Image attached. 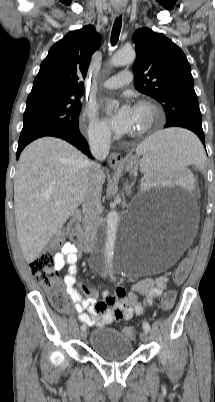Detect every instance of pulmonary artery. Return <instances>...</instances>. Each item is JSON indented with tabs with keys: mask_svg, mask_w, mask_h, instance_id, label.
Returning <instances> with one entry per match:
<instances>
[{
	"mask_svg": "<svg viewBox=\"0 0 215 402\" xmlns=\"http://www.w3.org/2000/svg\"><path fill=\"white\" fill-rule=\"evenodd\" d=\"M132 79V74L129 71H122L115 76H112L102 83L106 89H116L128 84Z\"/></svg>",
	"mask_w": 215,
	"mask_h": 402,
	"instance_id": "e3ab8cb5",
	"label": "pulmonary artery"
}]
</instances>
